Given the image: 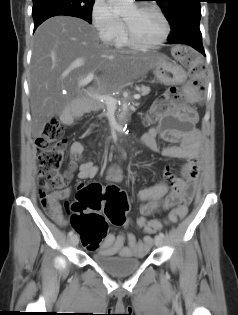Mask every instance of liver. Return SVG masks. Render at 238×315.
Masks as SVG:
<instances>
[{"label":"liver","instance_id":"6515ba94","mask_svg":"<svg viewBox=\"0 0 238 315\" xmlns=\"http://www.w3.org/2000/svg\"><path fill=\"white\" fill-rule=\"evenodd\" d=\"M160 57L157 53L120 54L100 44L94 28L80 18L55 16L46 20L35 32L32 49L29 89L33 138L41 137L53 117L70 122L90 107L79 86L88 74L94 73L88 92L104 95L147 75Z\"/></svg>","mask_w":238,"mask_h":315}]
</instances>
